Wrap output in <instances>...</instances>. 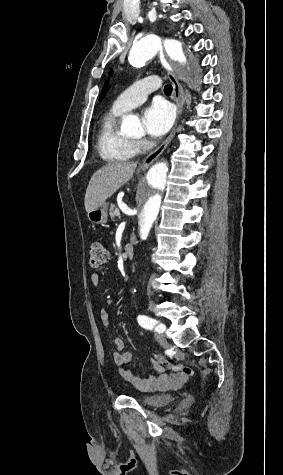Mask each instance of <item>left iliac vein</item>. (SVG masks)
<instances>
[{"label":"left iliac vein","mask_w":283,"mask_h":475,"mask_svg":"<svg viewBox=\"0 0 283 475\" xmlns=\"http://www.w3.org/2000/svg\"><path fill=\"white\" fill-rule=\"evenodd\" d=\"M155 339L160 344H164L166 342L165 336L159 331L156 332Z\"/></svg>","instance_id":"left-iliac-vein-1"}]
</instances>
